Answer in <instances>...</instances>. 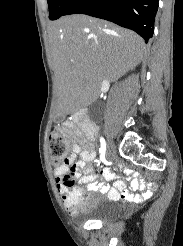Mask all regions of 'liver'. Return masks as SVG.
<instances>
[{
  "label": "liver",
  "mask_w": 183,
  "mask_h": 246,
  "mask_svg": "<svg viewBox=\"0 0 183 246\" xmlns=\"http://www.w3.org/2000/svg\"><path fill=\"white\" fill-rule=\"evenodd\" d=\"M60 114H70L95 93L143 59L144 40L127 29L86 15H71L48 27Z\"/></svg>",
  "instance_id": "1"
}]
</instances>
